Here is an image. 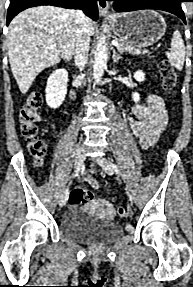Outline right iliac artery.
I'll return each instance as SVG.
<instances>
[{"label":"right iliac artery","mask_w":193,"mask_h":287,"mask_svg":"<svg viewBox=\"0 0 193 287\" xmlns=\"http://www.w3.org/2000/svg\"><path fill=\"white\" fill-rule=\"evenodd\" d=\"M81 169H82L81 166H79V167L76 169L75 173H74L73 176H72L71 181L79 175V172L81 171Z\"/></svg>","instance_id":"82829eb1"}]
</instances>
